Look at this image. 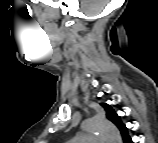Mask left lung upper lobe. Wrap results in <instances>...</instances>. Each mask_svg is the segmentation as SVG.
<instances>
[{
    "instance_id": "obj_1",
    "label": "left lung upper lobe",
    "mask_w": 158,
    "mask_h": 143,
    "mask_svg": "<svg viewBox=\"0 0 158 143\" xmlns=\"http://www.w3.org/2000/svg\"><path fill=\"white\" fill-rule=\"evenodd\" d=\"M101 106L104 108L106 112V117L114 123L117 128L119 129L122 136L128 135L127 128L121 121L120 117L117 115V113L111 108L110 105L101 103Z\"/></svg>"
}]
</instances>
